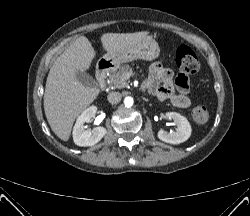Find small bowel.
Listing matches in <instances>:
<instances>
[{
	"label": "small bowel",
	"instance_id": "1",
	"mask_svg": "<svg viewBox=\"0 0 250 216\" xmlns=\"http://www.w3.org/2000/svg\"><path fill=\"white\" fill-rule=\"evenodd\" d=\"M145 87L159 100H169L175 107L187 108L191 105L188 78L173 71L162 63H155L150 68Z\"/></svg>",
	"mask_w": 250,
	"mask_h": 216
}]
</instances>
